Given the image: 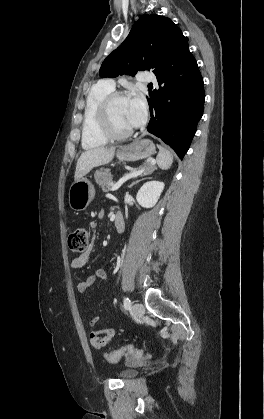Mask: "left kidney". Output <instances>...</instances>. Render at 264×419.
Listing matches in <instances>:
<instances>
[{
    "mask_svg": "<svg viewBox=\"0 0 264 419\" xmlns=\"http://www.w3.org/2000/svg\"><path fill=\"white\" fill-rule=\"evenodd\" d=\"M164 189V183L156 180L146 182L138 191L136 199L144 208L155 206Z\"/></svg>",
    "mask_w": 264,
    "mask_h": 419,
    "instance_id": "5707ae66",
    "label": "left kidney"
}]
</instances>
